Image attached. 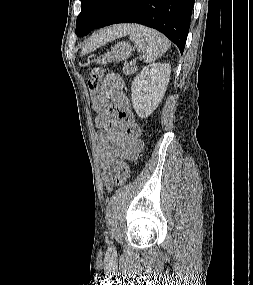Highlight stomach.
<instances>
[{
	"mask_svg": "<svg viewBox=\"0 0 253 285\" xmlns=\"http://www.w3.org/2000/svg\"><path fill=\"white\" fill-rule=\"evenodd\" d=\"M133 53V47L126 42H120L112 47L111 51L97 57L92 62L105 65L107 62H120L127 60Z\"/></svg>",
	"mask_w": 253,
	"mask_h": 285,
	"instance_id": "1",
	"label": "stomach"
}]
</instances>
